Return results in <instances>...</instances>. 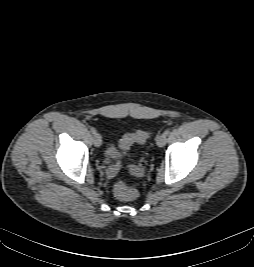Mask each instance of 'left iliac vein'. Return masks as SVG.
I'll list each match as a JSON object with an SVG mask.
<instances>
[{
  "mask_svg": "<svg viewBox=\"0 0 254 267\" xmlns=\"http://www.w3.org/2000/svg\"><path fill=\"white\" fill-rule=\"evenodd\" d=\"M166 137L167 136L164 133L157 136L156 144H157L158 147H163L165 145Z\"/></svg>",
  "mask_w": 254,
  "mask_h": 267,
  "instance_id": "1",
  "label": "left iliac vein"
}]
</instances>
